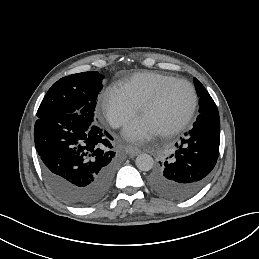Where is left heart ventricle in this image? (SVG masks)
I'll use <instances>...</instances> for the list:
<instances>
[{"instance_id": "left-heart-ventricle-1", "label": "left heart ventricle", "mask_w": 259, "mask_h": 259, "mask_svg": "<svg viewBox=\"0 0 259 259\" xmlns=\"http://www.w3.org/2000/svg\"><path fill=\"white\" fill-rule=\"evenodd\" d=\"M192 100L189 87L183 82L173 83L160 102L140 115V121L155 133L170 129L188 111Z\"/></svg>"}]
</instances>
